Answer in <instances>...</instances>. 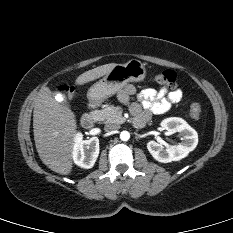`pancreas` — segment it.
Returning <instances> with one entry per match:
<instances>
[{"instance_id": "cf45deb5", "label": "pancreas", "mask_w": 233, "mask_h": 233, "mask_svg": "<svg viewBox=\"0 0 233 233\" xmlns=\"http://www.w3.org/2000/svg\"><path fill=\"white\" fill-rule=\"evenodd\" d=\"M96 115L99 120L105 123H123L124 118L122 117V111L113 105H107L105 108L96 111Z\"/></svg>"}]
</instances>
